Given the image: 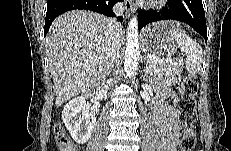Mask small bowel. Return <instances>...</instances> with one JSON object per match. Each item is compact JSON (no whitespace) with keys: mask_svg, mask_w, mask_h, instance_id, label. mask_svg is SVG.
Returning <instances> with one entry per match:
<instances>
[{"mask_svg":"<svg viewBox=\"0 0 231 151\" xmlns=\"http://www.w3.org/2000/svg\"><path fill=\"white\" fill-rule=\"evenodd\" d=\"M170 82L157 89L158 97L151 105V118L157 128L165 151H176L182 126L177 119L176 109L168 102L171 98Z\"/></svg>","mask_w":231,"mask_h":151,"instance_id":"small-bowel-1","label":"small bowel"}]
</instances>
